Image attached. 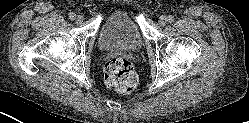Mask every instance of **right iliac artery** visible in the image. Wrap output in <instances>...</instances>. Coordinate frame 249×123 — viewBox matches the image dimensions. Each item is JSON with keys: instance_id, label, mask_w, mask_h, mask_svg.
I'll list each match as a JSON object with an SVG mask.
<instances>
[{"instance_id": "obj_1", "label": "right iliac artery", "mask_w": 249, "mask_h": 123, "mask_svg": "<svg viewBox=\"0 0 249 123\" xmlns=\"http://www.w3.org/2000/svg\"><path fill=\"white\" fill-rule=\"evenodd\" d=\"M68 17L70 20H74L76 18V14L75 13H69Z\"/></svg>"}]
</instances>
